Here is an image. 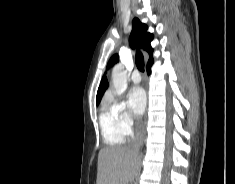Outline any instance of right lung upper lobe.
<instances>
[{"instance_id":"1","label":"right lung upper lobe","mask_w":235,"mask_h":184,"mask_svg":"<svg viewBox=\"0 0 235 184\" xmlns=\"http://www.w3.org/2000/svg\"><path fill=\"white\" fill-rule=\"evenodd\" d=\"M134 39L139 43L140 47L149 54V60L147 65L153 63V57H152L153 49L150 45V42L153 39V35L147 32V26L145 24H142L138 18L133 19V29L130 36V44L132 47ZM117 62H118V55L115 54L111 57L108 63V68ZM107 88H108V82L106 77L104 76L101 81V85L98 88L96 104L100 103V100Z\"/></svg>"}]
</instances>
